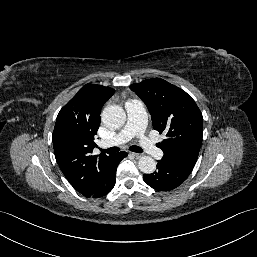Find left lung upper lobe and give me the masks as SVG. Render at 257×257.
<instances>
[{"instance_id": "obj_1", "label": "left lung upper lobe", "mask_w": 257, "mask_h": 257, "mask_svg": "<svg viewBox=\"0 0 257 257\" xmlns=\"http://www.w3.org/2000/svg\"><path fill=\"white\" fill-rule=\"evenodd\" d=\"M147 105L153 128L166 134L159 147L167 160L191 172L202 144L203 117L192 97L167 81L154 78L130 86Z\"/></svg>"}]
</instances>
